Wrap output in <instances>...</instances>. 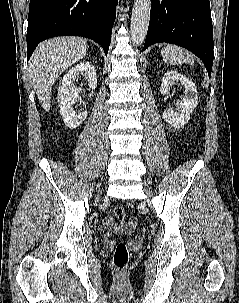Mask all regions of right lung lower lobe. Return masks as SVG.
Listing matches in <instances>:
<instances>
[{"label":"right lung lower lobe","mask_w":239,"mask_h":303,"mask_svg":"<svg viewBox=\"0 0 239 303\" xmlns=\"http://www.w3.org/2000/svg\"><path fill=\"white\" fill-rule=\"evenodd\" d=\"M118 0H31L27 28V59L43 40L82 36L100 44L107 55Z\"/></svg>","instance_id":"1"}]
</instances>
